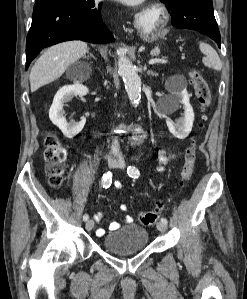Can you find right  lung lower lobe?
I'll list each match as a JSON object with an SVG mask.
<instances>
[{"instance_id":"98d812e1","label":"right lung lower lobe","mask_w":247,"mask_h":299,"mask_svg":"<svg viewBox=\"0 0 247 299\" xmlns=\"http://www.w3.org/2000/svg\"><path fill=\"white\" fill-rule=\"evenodd\" d=\"M101 7L94 0H54L35 9L26 40V70L43 48L63 41L113 42Z\"/></svg>"}]
</instances>
